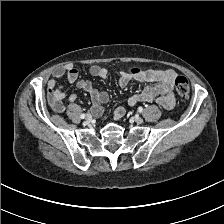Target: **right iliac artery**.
Returning a JSON list of instances; mask_svg holds the SVG:
<instances>
[{
  "mask_svg": "<svg viewBox=\"0 0 224 224\" xmlns=\"http://www.w3.org/2000/svg\"><path fill=\"white\" fill-rule=\"evenodd\" d=\"M86 117V114H81V118L84 119Z\"/></svg>",
  "mask_w": 224,
  "mask_h": 224,
  "instance_id": "82829eb1",
  "label": "right iliac artery"
}]
</instances>
